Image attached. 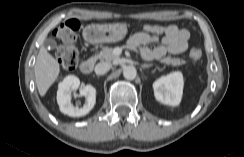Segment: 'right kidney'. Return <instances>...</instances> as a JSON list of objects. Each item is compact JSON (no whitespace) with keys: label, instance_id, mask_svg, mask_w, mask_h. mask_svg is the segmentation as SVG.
<instances>
[{"label":"right kidney","instance_id":"1","mask_svg":"<svg viewBox=\"0 0 244 157\" xmlns=\"http://www.w3.org/2000/svg\"><path fill=\"white\" fill-rule=\"evenodd\" d=\"M79 86L80 80L74 75L65 77L58 86L57 102L60 111L70 117H81L88 114L96 103V89L90 84L83 88H79ZM78 89L80 95H83L86 98V103L82 108L73 106L71 102L72 92H75Z\"/></svg>","mask_w":244,"mask_h":157}]
</instances>
